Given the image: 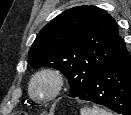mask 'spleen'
Masks as SVG:
<instances>
[{"instance_id": "1", "label": "spleen", "mask_w": 131, "mask_h": 115, "mask_svg": "<svg viewBox=\"0 0 131 115\" xmlns=\"http://www.w3.org/2000/svg\"><path fill=\"white\" fill-rule=\"evenodd\" d=\"M81 115H112L110 112L100 108H81Z\"/></svg>"}]
</instances>
